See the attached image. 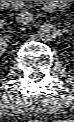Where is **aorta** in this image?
<instances>
[{"mask_svg":"<svg viewBox=\"0 0 74 122\" xmlns=\"http://www.w3.org/2000/svg\"><path fill=\"white\" fill-rule=\"evenodd\" d=\"M37 33L42 41L49 42L56 37V27L53 24L44 23L40 25Z\"/></svg>","mask_w":74,"mask_h":122,"instance_id":"obj_1","label":"aorta"}]
</instances>
